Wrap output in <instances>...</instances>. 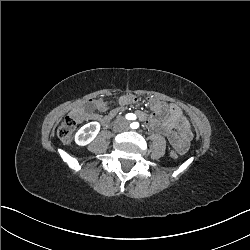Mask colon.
I'll use <instances>...</instances> for the list:
<instances>
[{"label":"colon","mask_w":250,"mask_h":250,"mask_svg":"<svg viewBox=\"0 0 250 250\" xmlns=\"http://www.w3.org/2000/svg\"><path fill=\"white\" fill-rule=\"evenodd\" d=\"M129 98H134V103H139V98L137 93H129L128 94ZM77 128V121L73 116H67L65 117L60 125L58 126L57 129V137L59 139L60 142L67 144L70 143L74 137V133L75 130ZM180 153L177 151V149L172 150L169 158L172 161H175L176 159H178L180 157Z\"/></svg>","instance_id":"obj_1"}]
</instances>
